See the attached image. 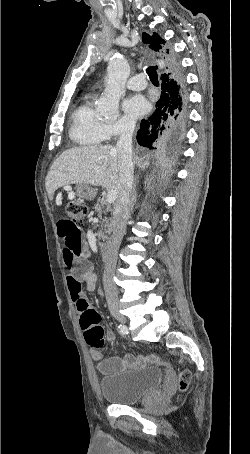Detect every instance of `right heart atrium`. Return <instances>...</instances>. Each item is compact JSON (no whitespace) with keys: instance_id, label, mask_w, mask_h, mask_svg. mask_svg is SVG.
Instances as JSON below:
<instances>
[{"instance_id":"right-heart-atrium-1","label":"right heart atrium","mask_w":250,"mask_h":454,"mask_svg":"<svg viewBox=\"0 0 250 454\" xmlns=\"http://www.w3.org/2000/svg\"><path fill=\"white\" fill-rule=\"evenodd\" d=\"M134 128L133 121L127 118H121L113 123L107 124V130L110 137H118L130 132Z\"/></svg>"}]
</instances>
